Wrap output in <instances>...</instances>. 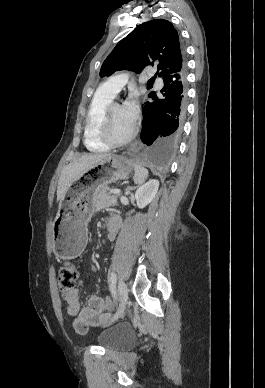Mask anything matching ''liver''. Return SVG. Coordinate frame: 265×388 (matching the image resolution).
Returning a JSON list of instances; mask_svg holds the SVG:
<instances>
[{"label":"liver","mask_w":265,"mask_h":388,"mask_svg":"<svg viewBox=\"0 0 265 388\" xmlns=\"http://www.w3.org/2000/svg\"><path fill=\"white\" fill-rule=\"evenodd\" d=\"M107 156H111V154H86V156H80V158L65 166L57 186V202L64 200L72 182H74L77 176H80L87 168H92L96 162H100V160L107 158Z\"/></svg>","instance_id":"liver-1"}]
</instances>
